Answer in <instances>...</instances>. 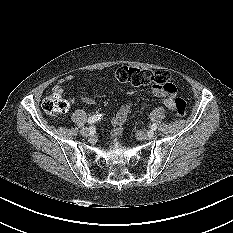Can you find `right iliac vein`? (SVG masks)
Instances as JSON below:
<instances>
[{
	"instance_id": "63e3f726",
	"label": "right iliac vein",
	"mask_w": 233,
	"mask_h": 233,
	"mask_svg": "<svg viewBox=\"0 0 233 233\" xmlns=\"http://www.w3.org/2000/svg\"><path fill=\"white\" fill-rule=\"evenodd\" d=\"M80 133H81L82 136H86L87 137V136L90 135V130L87 127H83V128H81Z\"/></svg>"
}]
</instances>
